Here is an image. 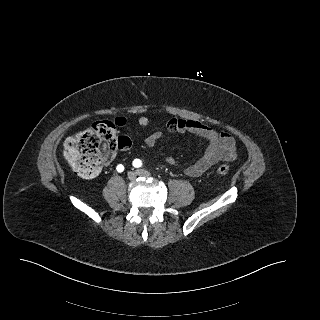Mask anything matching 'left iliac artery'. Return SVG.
Segmentation results:
<instances>
[{
    "mask_svg": "<svg viewBox=\"0 0 320 320\" xmlns=\"http://www.w3.org/2000/svg\"><path fill=\"white\" fill-rule=\"evenodd\" d=\"M133 166H134V167H140V166H142V161H141L140 159H135V160L133 161Z\"/></svg>",
    "mask_w": 320,
    "mask_h": 320,
    "instance_id": "obj_1",
    "label": "left iliac artery"
}]
</instances>
